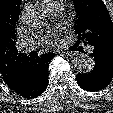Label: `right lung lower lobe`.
Instances as JSON below:
<instances>
[{
    "mask_svg": "<svg viewBox=\"0 0 113 113\" xmlns=\"http://www.w3.org/2000/svg\"><path fill=\"white\" fill-rule=\"evenodd\" d=\"M53 53L43 54L41 57H27L22 62L16 76L6 84L18 95L32 99L41 95L48 84V66Z\"/></svg>",
    "mask_w": 113,
    "mask_h": 113,
    "instance_id": "98d812e1",
    "label": "right lung lower lobe"
}]
</instances>
